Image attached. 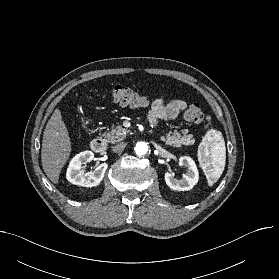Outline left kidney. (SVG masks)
Returning <instances> with one entry per match:
<instances>
[{
	"label": "left kidney",
	"mask_w": 279,
	"mask_h": 279,
	"mask_svg": "<svg viewBox=\"0 0 279 279\" xmlns=\"http://www.w3.org/2000/svg\"><path fill=\"white\" fill-rule=\"evenodd\" d=\"M179 164L187 168V173L183 174L182 179H176L169 172L165 173V182L173 190L188 191L191 190L198 182L199 174L197 166L193 159L188 156H181Z\"/></svg>",
	"instance_id": "left-kidney-1"
}]
</instances>
